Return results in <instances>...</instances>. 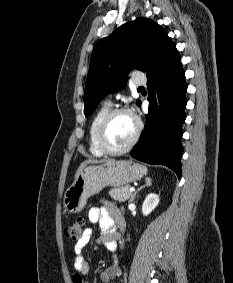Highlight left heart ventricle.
<instances>
[{"instance_id":"obj_1","label":"left heart ventricle","mask_w":233,"mask_h":283,"mask_svg":"<svg viewBox=\"0 0 233 283\" xmlns=\"http://www.w3.org/2000/svg\"><path fill=\"white\" fill-rule=\"evenodd\" d=\"M135 127V121L131 115L122 113L115 116L105 133L106 145L112 149L124 147L131 140Z\"/></svg>"}]
</instances>
